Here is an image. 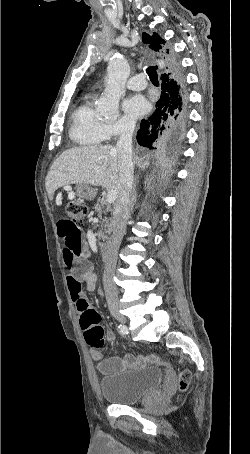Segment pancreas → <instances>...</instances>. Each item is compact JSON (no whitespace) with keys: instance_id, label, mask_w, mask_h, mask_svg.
Returning <instances> with one entry per match:
<instances>
[{"instance_id":"pancreas-1","label":"pancreas","mask_w":250,"mask_h":454,"mask_svg":"<svg viewBox=\"0 0 250 454\" xmlns=\"http://www.w3.org/2000/svg\"><path fill=\"white\" fill-rule=\"evenodd\" d=\"M95 211L101 215L102 213L107 214L108 212L111 211V206L109 203H107L106 200L104 199H98L97 203L95 204L94 207ZM101 225L103 227V230L100 231L97 235L100 239H106L109 240V235L112 231V221L108 217H104L101 221Z\"/></svg>"}]
</instances>
